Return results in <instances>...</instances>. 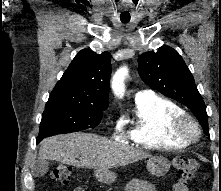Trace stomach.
I'll return each mask as SVG.
<instances>
[{"label": "stomach", "mask_w": 221, "mask_h": 191, "mask_svg": "<svg viewBox=\"0 0 221 191\" xmlns=\"http://www.w3.org/2000/svg\"><path fill=\"white\" fill-rule=\"evenodd\" d=\"M170 168V163L166 158L163 157H151L147 160V170L153 176H164ZM96 179L105 184H111L116 181L117 175L107 170H96L94 173Z\"/></svg>", "instance_id": "obj_1"}]
</instances>
